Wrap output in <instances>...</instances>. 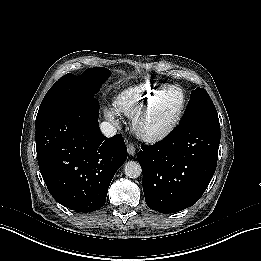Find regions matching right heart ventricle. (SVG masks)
I'll list each match as a JSON object with an SVG mask.
<instances>
[{"label": "right heart ventricle", "mask_w": 261, "mask_h": 261, "mask_svg": "<svg viewBox=\"0 0 261 261\" xmlns=\"http://www.w3.org/2000/svg\"><path fill=\"white\" fill-rule=\"evenodd\" d=\"M136 102H138V98L136 97H126L124 99H121L117 104L116 111L124 114H129L135 109Z\"/></svg>", "instance_id": "1"}]
</instances>
